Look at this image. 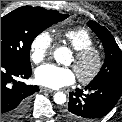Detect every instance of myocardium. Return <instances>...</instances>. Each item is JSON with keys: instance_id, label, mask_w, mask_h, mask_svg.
<instances>
[{"instance_id": "f54148a6", "label": "myocardium", "mask_w": 122, "mask_h": 122, "mask_svg": "<svg viewBox=\"0 0 122 122\" xmlns=\"http://www.w3.org/2000/svg\"><path fill=\"white\" fill-rule=\"evenodd\" d=\"M74 59H75V68L80 66L88 59H92L94 61L93 68L89 73L86 74H81L79 72L77 73V78L79 82H81L82 84H88L93 80H95L100 74L104 65L103 53L99 48L95 46H90L75 51Z\"/></svg>"}]
</instances>
